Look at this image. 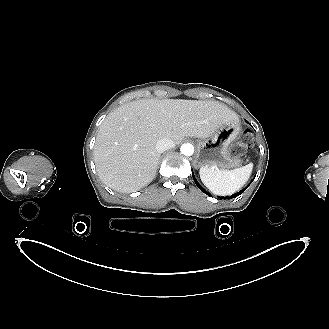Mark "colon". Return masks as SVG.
I'll return each instance as SVG.
<instances>
[{"mask_svg":"<svg viewBox=\"0 0 329 329\" xmlns=\"http://www.w3.org/2000/svg\"><path fill=\"white\" fill-rule=\"evenodd\" d=\"M239 144H240V147H242V148L251 147L253 145L252 133L249 131L243 132V134L241 135V137L239 139Z\"/></svg>","mask_w":329,"mask_h":329,"instance_id":"colon-1","label":"colon"}]
</instances>
